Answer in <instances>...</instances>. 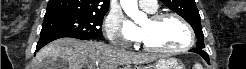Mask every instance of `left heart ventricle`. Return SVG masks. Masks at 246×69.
Masks as SVG:
<instances>
[{"instance_id":"b2bd125f","label":"left heart ventricle","mask_w":246,"mask_h":69,"mask_svg":"<svg viewBox=\"0 0 246 69\" xmlns=\"http://www.w3.org/2000/svg\"><path fill=\"white\" fill-rule=\"evenodd\" d=\"M142 40L152 47L173 49L181 47L187 40V33L182 24L173 18L160 22L150 19L140 26Z\"/></svg>"}]
</instances>
